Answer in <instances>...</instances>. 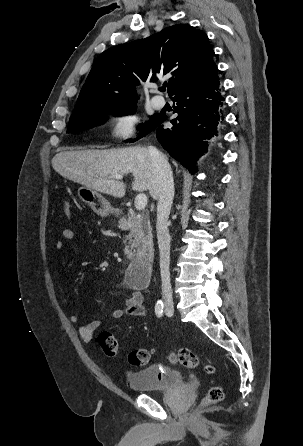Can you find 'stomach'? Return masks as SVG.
I'll return each mask as SVG.
<instances>
[{
	"instance_id": "1",
	"label": "stomach",
	"mask_w": 303,
	"mask_h": 446,
	"mask_svg": "<svg viewBox=\"0 0 303 446\" xmlns=\"http://www.w3.org/2000/svg\"><path fill=\"white\" fill-rule=\"evenodd\" d=\"M77 193L80 200L90 206L99 216H108L114 212V208L110 203L96 190L82 186L78 189Z\"/></svg>"
}]
</instances>
